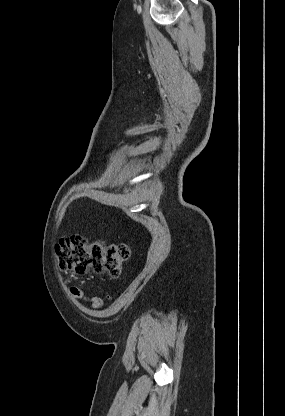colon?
Returning <instances> with one entry per match:
<instances>
[{"label": "colon", "mask_w": 285, "mask_h": 416, "mask_svg": "<svg viewBox=\"0 0 285 416\" xmlns=\"http://www.w3.org/2000/svg\"><path fill=\"white\" fill-rule=\"evenodd\" d=\"M56 253L60 267L66 272L81 276L93 271L118 278L129 257V248L124 243L107 244L102 239L76 234L61 239Z\"/></svg>", "instance_id": "colon-1"}]
</instances>
